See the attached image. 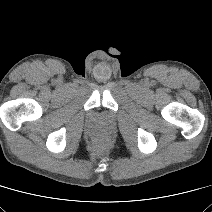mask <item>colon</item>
Returning <instances> with one entry per match:
<instances>
[{
  "mask_svg": "<svg viewBox=\"0 0 212 212\" xmlns=\"http://www.w3.org/2000/svg\"><path fill=\"white\" fill-rule=\"evenodd\" d=\"M106 141L105 136L103 135H98L96 138V146H102Z\"/></svg>",
  "mask_w": 212,
  "mask_h": 212,
  "instance_id": "colon-1",
  "label": "colon"
}]
</instances>
